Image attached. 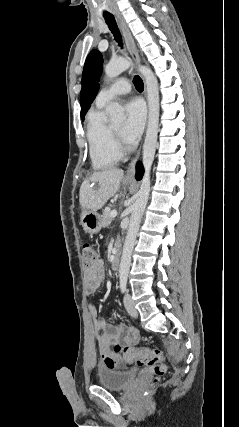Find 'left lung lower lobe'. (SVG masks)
Segmentation results:
<instances>
[{
    "label": "left lung lower lobe",
    "mask_w": 239,
    "mask_h": 427,
    "mask_svg": "<svg viewBox=\"0 0 239 427\" xmlns=\"http://www.w3.org/2000/svg\"><path fill=\"white\" fill-rule=\"evenodd\" d=\"M143 173H144L143 166H142L141 163L138 162L137 166H136V179L137 180H141L142 176H143Z\"/></svg>",
    "instance_id": "0a47b994"
}]
</instances>
